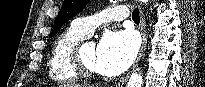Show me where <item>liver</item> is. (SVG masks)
<instances>
[{
  "label": "liver",
  "mask_w": 205,
  "mask_h": 87,
  "mask_svg": "<svg viewBox=\"0 0 205 87\" xmlns=\"http://www.w3.org/2000/svg\"><path fill=\"white\" fill-rule=\"evenodd\" d=\"M63 87H85V86H82L79 84H67V85H64Z\"/></svg>",
  "instance_id": "6515ba94"
}]
</instances>
